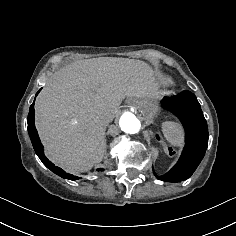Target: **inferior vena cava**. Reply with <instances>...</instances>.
<instances>
[{
  "mask_svg": "<svg viewBox=\"0 0 236 236\" xmlns=\"http://www.w3.org/2000/svg\"><path fill=\"white\" fill-rule=\"evenodd\" d=\"M104 121L107 123V124H110L113 122V116L112 115H107L105 118H104Z\"/></svg>",
  "mask_w": 236,
  "mask_h": 236,
  "instance_id": "602c4592",
  "label": "inferior vena cava"
}]
</instances>
